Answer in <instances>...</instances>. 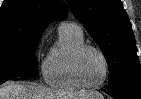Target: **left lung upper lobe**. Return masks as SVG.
Returning a JSON list of instances; mask_svg holds the SVG:
<instances>
[{
  "instance_id": "obj_1",
  "label": "left lung upper lobe",
  "mask_w": 141,
  "mask_h": 99,
  "mask_svg": "<svg viewBox=\"0 0 141 99\" xmlns=\"http://www.w3.org/2000/svg\"><path fill=\"white\" fill-rule=\"evenodd\" d=\"M69 8L107 60L108 90L141 89L140 62L129 18L120 0H67Z\"/></svg>"
}]
</instances>
